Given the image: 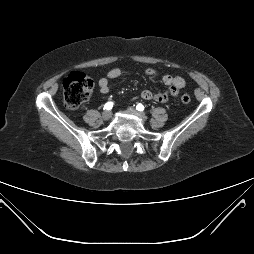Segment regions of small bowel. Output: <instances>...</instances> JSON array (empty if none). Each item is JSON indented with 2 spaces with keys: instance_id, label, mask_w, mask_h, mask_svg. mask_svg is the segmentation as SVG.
I'll list each match as a JSON object with an SVG mask.
<instances>
[{
  "instance_id": "1",
  "label": "small bowel",
  "mask_w": 254,
  "mask_h": 254,
  "mask_svg": "<svg viewBox=\"0 0 254 254\" xmlns=\"http://www.w3.org/2000/svg\"><path fill=\"white\" fill-rule=\"evenodd\" d=\"M145 74L147 76H154L156 74V70L154 68H147L145 70ZM122 75V71L119 68L110 69L106 76L101 77L98 80V88L100 93L108 94L110 91L109 81L112 79L119 78ZM165 85L168 86V89L154 94L148 89H144L140 93V98L144 100H155L159 103H166L170 97H175L178 95L181 89L186 86V82L184 78L181 76H174V75H164L162 78Z\"/></svg>"
}]
</instances>
